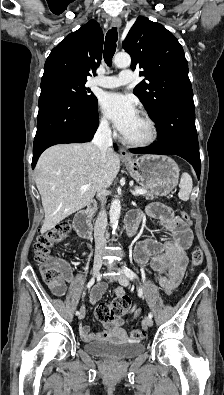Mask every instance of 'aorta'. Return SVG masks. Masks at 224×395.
Segmentation results:
<instances>
[{
  "instance_id": "aorta-1",
  "label": "aorta",
  "mask_w": 224,
  "mask_h": 395,
  "mask_svg": "<svg viewBox=\"0 0 224 395\" xmlns=\"http://www.w3.org/2000/svg\"><path fill=\"white\" fill-rule=\"evenodd\" d=\"M114 64L118 68H126L129 67L131 64V58L128 54L126 53H118L114 57ZM120 211H121V204L119 199H114L111 203L110 207V224L113 228V231L115 232V229L117 228L118 225V220L120 217Z\"/></svg>"
}]
</instances>
